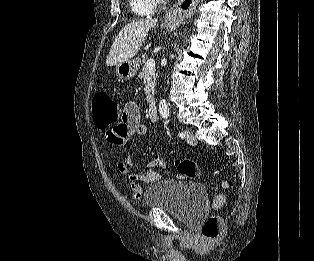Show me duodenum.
Wrapping results in <instances>:
<instances>
[{
    "mask_svg": "<svg viewBox=\"0 0 314 261\" xmlns=\"http://www.w3.org/2000/svg\"><path fill=\"white\" fill-rule=\"evenodd\" d=\"M148 117L153 122L158 119L157 107L154 104H150L148 107Z\"/></svg>",
    "mask_w": 314,
    "mask_h": 261,
    "instance_id": "obj_1",
    "label": "duodenum"
}]
</instances>
